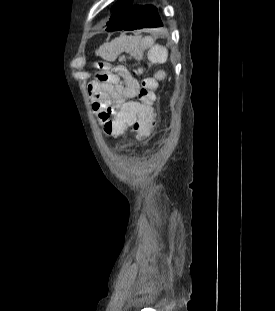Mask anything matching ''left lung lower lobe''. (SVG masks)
Here are the masks:
<instances>
[{
    "label": "left lung lower lobe",
    "instance_id": "1",
    "mask_svg": "<svg viewBox=\"0 0 275 311\" xmlns=\"http://www.w3.org/2000/svg\"><path fill=\"white\" fill-rule=\"evenodd\" d=\"M162 26V22L157 13V9L151 5L142 6L135 20L123 30L133 31L145 28H158Z\"/></svg>",
    "mask_w": 275,
    "mask_h": 311
}]
</instances>
